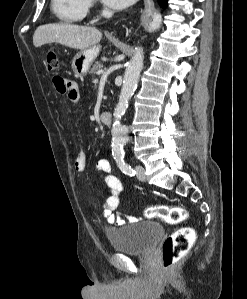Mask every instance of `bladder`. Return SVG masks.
<instances>
[{
    "label": "bladder",
    "instance_id": "bladder-1",
    "mask_svg": "<svg viewBox=\"0 0 247 299\" xmlns=\"http://www.w3.org/2000/svg\"><path fill=\"white\" fill-rule=\"evenodd\" d=\"M164 232V227L158 222L140 221L109 228L106 235L115 251L142 255L154 248Z\"/></svg>",
    "mask_w": 247,
    "mask_h": 299
}]
</instances>
